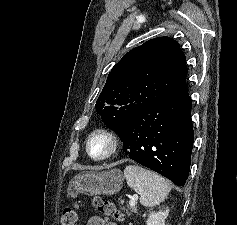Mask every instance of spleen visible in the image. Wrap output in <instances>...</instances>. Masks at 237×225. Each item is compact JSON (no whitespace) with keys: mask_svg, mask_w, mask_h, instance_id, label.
<instances>
[{"mask_svg":"<svg viewBox=\"0 0 237 225\" xmlns=\"http://www.w3.org/2000/svg\"><path fill=\"white\" fill-rule=\"evenodd\" d=\"M124 176L128 186L140 194V203L145 207L159 205L171 190L165 178L137 165L126 166Z\"/></svg>","mask_w":237,"mask_h":225,"instance_id":"1","label":"spleen"}]
</instances>
